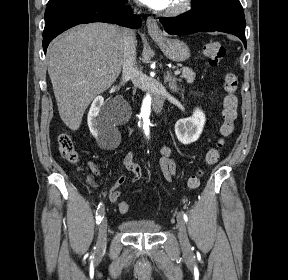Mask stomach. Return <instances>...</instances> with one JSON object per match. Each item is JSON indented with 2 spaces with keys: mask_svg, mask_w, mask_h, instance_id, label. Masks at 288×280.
<instances>
[{
  "mask_svg": "<svg viewBox=\"0 0 288 280\" xmlns=\"http://www.w3.org/2000/svg\"><path fill=\"white\" fill-rule=\"evenodd\" d=\"M154 41L159 45L164 55L177 62H182L190 57V49L186 43L178 39L157 38L153 37Z\"/></svg>",
  "mask_w": 288,
  "mask_h": 280,
  "instance_id": "stomach-1",
  "label": "stomach"
}]
</instances>
